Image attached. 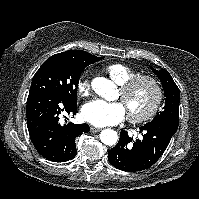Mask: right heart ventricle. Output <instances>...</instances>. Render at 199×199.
<instances>
[{
  "mask_svg": "<svg viewBox=\"0 0 199 199\" xmlns=\"http://www.w3.org/2000/svg\"><path fill=\"white\" fill-rule=\"evenodd\" d=\"M104 70L119 85L138 75L137 70L123 63H111Z\"/></svg>",
  "mask_w": 199,
  "mask_h": 199,
  "instance_id": "obj_1",
  "label": "right heart ventricle"
}]
</instances>
